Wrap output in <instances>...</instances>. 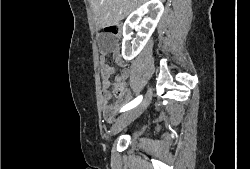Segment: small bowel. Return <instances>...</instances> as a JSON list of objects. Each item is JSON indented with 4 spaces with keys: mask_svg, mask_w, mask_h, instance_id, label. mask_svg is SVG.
Instances as JSON below:
<instances>
[{
    "mask_svg": "<svg viewBox=\"0 0 250 169\" xmlns=\"http://www.w3.org/2000/svg\"><path fill=\"white\" fill-rule=\"evenodd\" d=\"M113 60L114 63L118 66L123 65L122 55L117 47H114L113 50ZM107 50L101 51L100 61H101V81H102V101H103V114L106 119L112 121L115 113L130 99V94L128 91H125L123 95L114 102H110L111 92L110 88V77L115 73V70L112 66L108 65L106 57L108 55ZM130 75L129 69H123L120 74V79L122 82L126 81Z\"/></svg>",
    "mask_w": 250,
    "mask_h": 169,
    "instance_id": "1",
    "label": "small bowel"
}]
</instances>
